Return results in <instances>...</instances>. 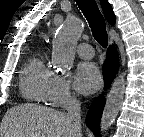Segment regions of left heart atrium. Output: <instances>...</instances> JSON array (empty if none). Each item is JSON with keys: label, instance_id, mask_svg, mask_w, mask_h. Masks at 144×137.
Segmentation results:
<instances>
[{"label": "left heart atrium", "instance_id": "39dd6f15", "mask_svg": "<svg viewBox=\"0 0 144 137\" xmlns=\"http://www.w3.org/2000/svg\"><path fill=\"white\" fill-rule=\"evenodd\" d=\"M75 83L77 89L83 94H91L101 86V74L93 63H82L78 66Z\"/></svg>", "mask_w": 144, "mask_h": 137}]
</instances>
